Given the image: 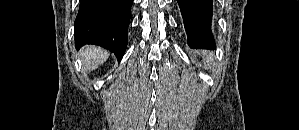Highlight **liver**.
<instances>
[{
    "mask_svg": "<svg viewBox=\"0 0 299 130\" xmlns=\"http://www.w3.org/2000/svg\"><path fill=\"white\" fill-rule=\"evenodd\" d=\"M81 57L85 70L91 71L103 64L108 59L109 53L96 46H86L82 49Z\"/></svg>",
    "mask_w": 299,
    "mask_h": 130,
    "instance_id": "1",
    "label": "liver"
}]
</instances>
